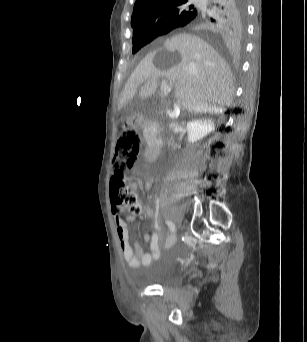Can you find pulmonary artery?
Here are the masks:
<instances>
[{
  "instance_id": "pulmonary-artery-1",
  "label": "pulmonary artery",
  "mask_w": 307,
  "mask_h": 342,
  "mask_svg": "<svg viewBox=\"0 0 307 342\" xmlns=\"http://www.w3.org/2000/svg\"><path fill=\"white\" fill-rule=\"evenodd\" d=\"M199 2H202V4H201L202 10L205 11L206 10V4H205L206 1H199Z\"/></svg>"
}]
</instances>
